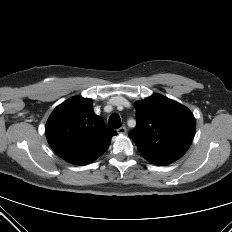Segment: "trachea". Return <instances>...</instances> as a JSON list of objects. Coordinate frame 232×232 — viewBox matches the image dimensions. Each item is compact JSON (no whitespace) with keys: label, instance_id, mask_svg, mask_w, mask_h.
Segmentation results:
<instances>
[{"label":"trachea","instance_id":"trachea-1","mask_svg":"<svg viewBox=\"0 0 232 232\" xmlns=\"http://www.w3.org/2000/svg\"><path fill=\"white\" fill-rule=\"evenodd\" d=\"M108 126L112 129H118L121 127L120 116L116 113L111 114L108 120Z\"/></svg>","mask_w":232,"mask_h":232}]
</instances>
